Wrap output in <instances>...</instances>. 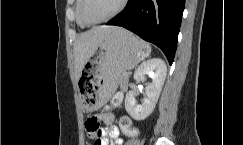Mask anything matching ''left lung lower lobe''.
<instances>
[{"instance_id": "0a47b994", "label": "left lung lower lobe", "mask_w": 243, "mask_h": 145, "mask_svg": "<svg viewBox=\"0 0 243 145\" xmlns=\"http://www.w3.org/2000/svg\"><path fill=\"white\" fill-rule=\"evenodd\" d=\"M185 0H128L107 25L124 27L157 45L173 63Z\"/></svg>"}]
</instances>
